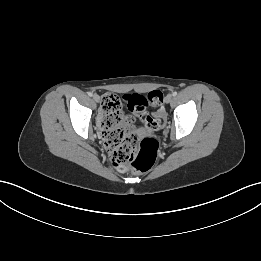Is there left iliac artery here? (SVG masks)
Segmentation results:
<instances>
[{
	"mask_svg": "<svg viewBox=\"0 0 261 261\" xmlns=\"http://www.w3.org/2000/svg\"><path fill=\"white\" fill-rule=\"evenodd\" d=\"M172 95H173V96H176V95H177V92H176V91H174V92L172 93Z\"/></svg>",
	"mask_w": 261,
	"mask_h": 261,
	"instance_id": "44dca946",
	"label": "left iliac artery"
}]
</instances>
